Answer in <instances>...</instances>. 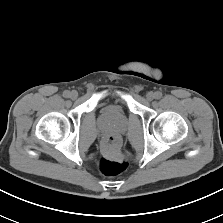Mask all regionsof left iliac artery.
I'll return each mask as SVG.
<instances>
[{
    "label": "left iliac artery",
    "instance_id": "44dca946",
    "mask_svg": "<svg viewBox=\"0 0 223 223\" xmlns=\"http://www.w3.org/2000/svg\"><path fill=\"white\" fill-rule=\"evenodd\" d=\"M162 97V93L160 91L155 92V98L160 99Z\"/></svg>",
    "mask_w": 223,
    "mask_h": 223
}]
</instances>
